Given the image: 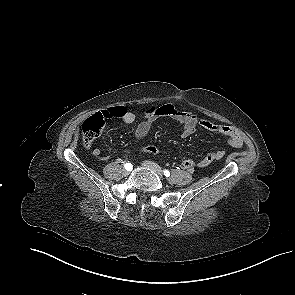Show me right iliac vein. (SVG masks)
Wrapping results in <instances>:
<instances>
[{"label": "right iliac vein", "instance_id": "1", "mask_svg": "<svg viewBox=\"0 0 295 295\" xmlns=\"http://www.w3.org/2000/svg\"><path fill=\"white\" fill-rule=\"evenodd\" d=\"M129 174H130V172H129L128 170H124V171H123V175H124V176H128Z\"/></svg>", "mask_w": 295, "mask_h": 295}]
</instances>
